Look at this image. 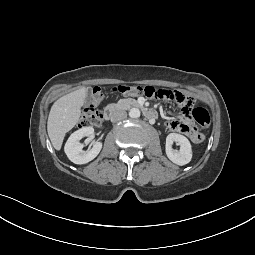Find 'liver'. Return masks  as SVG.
<instances>
[{
	"label": "liver",
	"instance_id": "6515ba94",
	"mask_svg": "<svg viewBox=\"0 0 255 255\" xmlns=\"http://www.w3.org/2000/svg\"><path fill=\"white\" fill-rule=\"evenodd\" d=\"M86 90L81 88L59 98L51 107L47 131L53 147L60 150L65 134L78 122Z\"/></svg>",
	"mask_w": 255,
	"mask_h": 255
}]
</instances>
